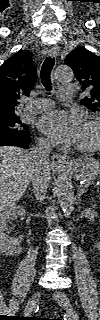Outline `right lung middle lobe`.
I'll return each instance as SVG.
<instances>
[{
    "label": "right lung middle lobe",
    "instance_id": "right-lung-middle-lobe-1",
    "mask_svg": "<svg viewBox=\"0 0 100 320\" xmlns=\"http://www.w3.org/2000/svg\"><path fill=\"white\" fill-rule=\"evenodd\" d=\"M29 134V126L21 123L17 117L0 119V137L25 136Z\"/></svg>",
    "mask_w": 100,
    "mask_h": 320
}]
</instances>
